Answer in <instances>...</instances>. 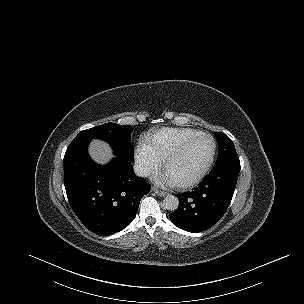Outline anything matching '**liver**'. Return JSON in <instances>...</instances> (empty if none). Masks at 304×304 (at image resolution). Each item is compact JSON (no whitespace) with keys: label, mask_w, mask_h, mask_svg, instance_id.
I'll list each match as a JSON object with an SVG mask.
<instances>
[{"label":"liver","mask_w":304,"mask_h":304,"mask_svg":"<svg viewBox=\"0 0 304 304\" xmlns=\"http://www.w3.org/2000/svg\"><path fill=\"white\" fill-rule=\"evenodd\" d=\"M89 154L91 158L99 164H106L113 157L111 147L107 143L100 140H94L91 142Z\"/></svg>","instance_id":"6515ba94"}]
</instances>
